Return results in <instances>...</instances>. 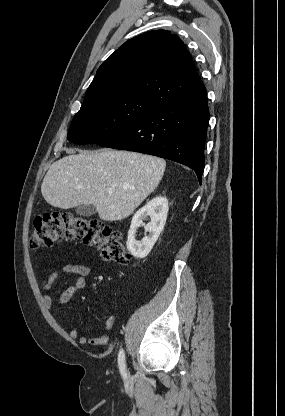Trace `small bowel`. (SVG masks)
Wrapping results in <instances>:
<instances>
[{
	"label": "small bowel",
	"mask_w": 285,
	"mask_h": 416,
	"mask_svg": "<svg viewBox=\"0 0 285 416\" xmlns=\"http://www.w3.org/2000/svg\"><path fill=\"white\" fill-rule=\"evenodd\" d=\"M91 268L85 264L75 262H66L57 270L45 275L41 282V288L45 292L43 296V305L48 311L53 310V299L48 294L54 287L56 281L61 275L67 274L72 276V284L58 296V302L61 304L69 302L73 296L86 286V278L90 275ZM115 324V317L110 315L105 321V331L98 336L88 337L82 335L77 329L72 328L68 334L72 339L78 340L80 344L100 346L107 344L109 340L108 331Z\"/></svg>",
	"instance_id": "small-bowel-1"
}]
</instances>
